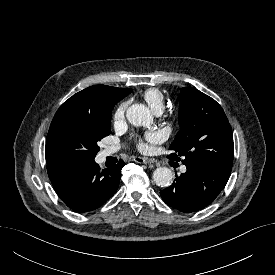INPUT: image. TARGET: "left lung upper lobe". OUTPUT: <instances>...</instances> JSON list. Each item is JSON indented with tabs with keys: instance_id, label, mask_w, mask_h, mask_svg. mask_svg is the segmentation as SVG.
Returning <instances> with one entry per match:
<instances>
[{
	"instance_id": "5c2ea615",
	"label": "left lung upper lobe",
	"mask_w": 275,
	"mask_h": 275,
	"mask_svg": "<svg viewBox=\"0 0 275 275\" xmlns=\"http://www.w3.org/2000/svg\"><path fill=\"white\" fill-rule=\"evenodd\" d=\"M179 125L169 149L171 160L185 165L207 163L232 168V129L222 107L211 97L192 87L179 96Z\"/></svg>"
}]
</instances>
